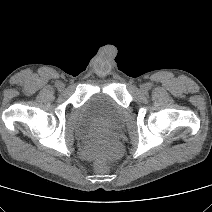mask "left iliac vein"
<instances>
[{"label": "left iliac vein", "instance_id": "left-iliac-vein-1", "mask_svg": "<svg viewBox=\"0 0 212 212\" xmlns=\"http://www.w3.org/2000/svg\"><path fill=\"white\" fill-rule=\"evenodd\" d=\"M141 90H142L143 92H145V91L147 90V87H146V86H142V87H141Z\"/></svg>", "mask_w": 212, "mask_h": 212}]
</instances>
